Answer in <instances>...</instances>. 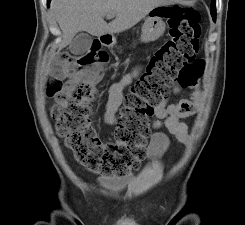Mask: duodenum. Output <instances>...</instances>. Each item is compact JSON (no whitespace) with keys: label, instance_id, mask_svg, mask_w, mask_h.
Wrapping results in <instances>:
<instances>
[{"label":"duodenum","instance_id":"obj_1","mask_svg":"<svg viewBox=\"0 0 245 225\" xmlns=\"http://www.w3.org/2000/svg\"><path fill=\"white\" fill-rule=\"evenodd\" d=\"M100 40L106 45L108 46L110 44V42L112 41V37L109 34H102L100 36Z\"/></svg>","mask_w":245,"mask_h":225}]
</instances>
